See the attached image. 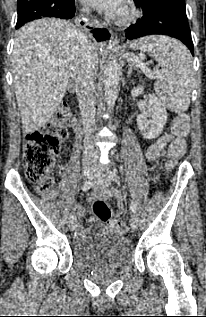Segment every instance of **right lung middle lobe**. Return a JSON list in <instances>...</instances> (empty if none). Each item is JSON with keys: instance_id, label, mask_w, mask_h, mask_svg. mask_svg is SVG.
<instances>
[{"instance_id": "right-lung-middle-lobe-1", "label": "right lung middle lobe", "mask_w": 206, "mask_h": 317, "mask_svg": "<svg viewBox=\"0 0 206 317\" xmlns=\"http://www.w3.org/2000/svg\"><path fill=\"white\" fill-rule=\"evenodd\" d=\"M72 0H18L16 28L42 17H57V10ZM59 18V17H58Z\"/></svg>"}]
</instances>
